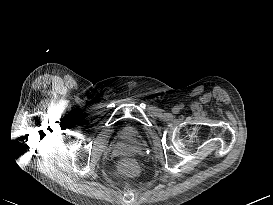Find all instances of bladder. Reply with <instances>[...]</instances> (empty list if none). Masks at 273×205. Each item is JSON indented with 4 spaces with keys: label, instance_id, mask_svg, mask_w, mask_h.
<instances>
[{
    "label": "bladder",
    "instance_id": "bladder-1",
    "mask_svg": "<svg viewBox=\"0 0 273 205\" xmlns=\"http://www.w3.org/2000/svg\"><path fill=\"white\" fill-rule=\"evenodd\" d=\"M121 136L127 141H134L136 134L132 129L125 128L121 131Z\"/></svg>",
    "mask_w": 273,
    "mask_h": 205
}]
</instances>
